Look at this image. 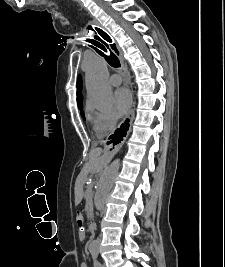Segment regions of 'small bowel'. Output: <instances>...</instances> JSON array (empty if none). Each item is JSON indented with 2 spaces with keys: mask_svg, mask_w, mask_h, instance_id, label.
Wrapping results in <instances>:
<instances>
[{
  "mask_svg": "<svg viewBox=\"0 0 225 267\" xmlns=\"http://www.w3.org/2000/svg\"><path fill=\"white\" fill-rule=\"evenodd\" d=\"M81 267H88V264L86 262H82Z\"/></svg>",
  "mask_w": 225,
  "mask_h": 267,
  "instance_id": "1",
  "label": "small bowel"
}]
</instances>
